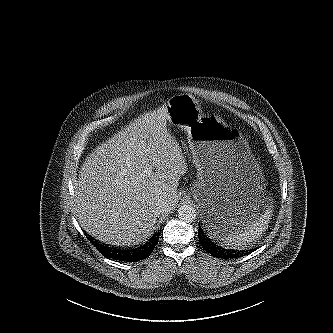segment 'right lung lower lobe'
<instances>
[{"label": "right lung lower lobe", "instance_id": "right-lung-lower-lobe-1", "mask_svg": "<svg viewBox=\"0 0 333 333\" xmlns=\"http://www.w3.org/2000/svg\"><path fill=\"white\" fill-rule=\"evenodd\" d=\"M158 239H159V234L156 233L143 246L137 248L134 251H129L127 253L119 252V250L107 248L102 245H95V246L101 252V254L107 258H112L119 261L135 262L147 258L152 253L153 249L158 243Z\"/></svg>", "mask_w": 333, "mask_h": 333}]
</instances>
